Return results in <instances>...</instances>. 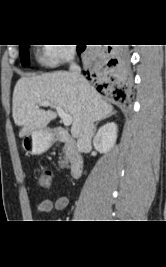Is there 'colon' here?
I'll return each mask as SVG.
<instances>
[{
  "instance_id": "5ec220e1",
  "label": "colon",
  "mask_w": 166,
  "mask_h": 267,
  "mask_svg": "<svg viewBox=\"0 0 166 267\" xmlns=\"http://www.w3.org/2000/svg\"><path fill=\"white\" fill-rule=\"evenodd\" d=\"M38 182L42 187H49L51 184V173L46 169L41 170L38 175Z\"/></svg>"
}]
</instances>
